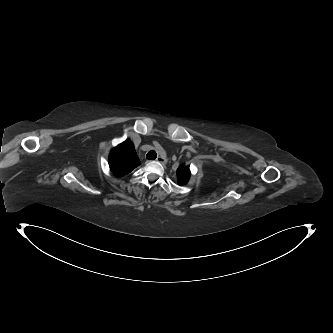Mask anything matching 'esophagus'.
I'll return each mask as SVG.
<instances>
[{
  "mask_svg": "<svg viewBox=\"0 0 333 333\" xmlns=\"http://www.w3.org/2000/svg\"><path fill=\"white\" fill-rule=\"evenodd\" d=\"M156 161L165 164L167 162V159L163 156H159L157 157Z\"/></svg>",
  "mask_w": 333,
  "mask_h": 333,
  "instance_id": "1",
  "label": "esophagus"
}]
</instances>
